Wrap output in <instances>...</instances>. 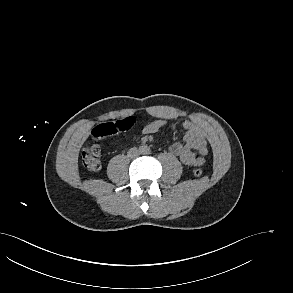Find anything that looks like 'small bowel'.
<instances>
[{"mask_svg":"<svg viewBox=\"0 0 293 293\" xmlns=\"http://www.w3.org/2000/svg\"><path fill=\"white\" fill-rule=\"evenodd\" d=\"M166 125L164 119H156L146 123L143 127L144 134H152ZM183 128L186 131L182 140L170 148L172 155L188 166H201L206 161L208 147L205 131L192 121H185Z\"/></svg>","mask_w":293,"mask_h":293,"instance_id":"1","label":"small bowel"}]
</instances>
